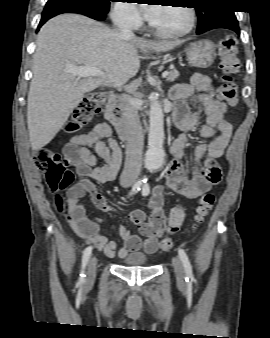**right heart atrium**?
Instances as JSON below:
<instances>
[{
	"label": "right heart atrium",
	"mask_w": 270,
	"mask_h": 338,
	"mask_svg": "<svg viewBox=\"0 0 270 338\" xmlns=\"http://www.w3.org/2000/svg\"><path fill=\"white\" fill-rule=\"evenodd\" d=\"M113 18L117 24L130 28H138L142 24L140 14L128 2H120L115 5Z\"/></svg>",
	"instance_id": "d8ad5b80"
}]
</instances>
